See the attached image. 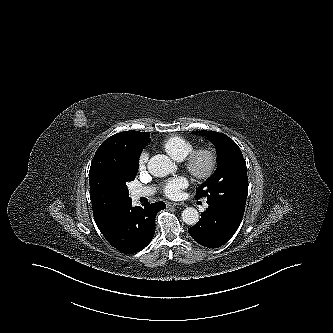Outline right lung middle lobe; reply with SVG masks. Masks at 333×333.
Wrapping results in <instances>:
<instances>
[{"label":"right lung middle lobe","instance_id":"1","mask_svg":"<svg viewBox=\"0 0 333 333\" xmlns=\"http://www.w3.org/2000/svg\"><path fill=\"white\" fill-rule=\"evenodd\" d=\"M138 171V160L128 169L125 171L123 178H122V187L126 194H128V188L126 186V183L129 181L134 180L136 174Z\"/></svg>","mask_w":333,"mask_h":333}]
</instances>
